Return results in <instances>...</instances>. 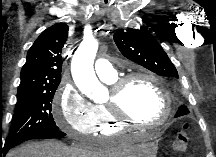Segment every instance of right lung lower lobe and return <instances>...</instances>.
Here are the masks:
<instances>
[{
	"mask_svg": "<svg viewBox=\"0 0 216 157\" xmlns=\"http://www.w3.org/2000/svg\"><path fill=\"white\" fill-rule=\"evenodd\" d=\"M65 136V133L61 132V131H55V132H51V133H44V134H38L35 136L30 137L27 140H31V139H50V138H60ZM25 140V141H27ZM24 142V141H23ZM19 144V143H18ZM17 145V144H15ZM14 145H7L4 146L3 148L0 149V157L5 156L6 153L8 152V150L10 148H12Z\"/></svg>",
	"mask_w": 216,
	"mask_h": 157,
	"instance_id": "1",
	"label": "right lung lower lobe"
}]
</instances>
